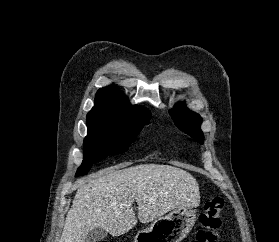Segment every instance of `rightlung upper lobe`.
I'll list each match as a JSON object with an SVG mask.
<instances>
[{"label":"right lung upper lobe","instance_id":"obj_1","mask_svg":"<svg viewBox=\"0 0 279 242\" xmlns=\"http://www.w3.org/2000/svg\"><path fill=\"white\" fill-rule=\"evenodd\" d=\"M147 109L131 105L127 97L113 86L96 93L95 105L87 114V120H104L120 125L140 124L150 120Z\"/></svg>","mask_w":279,"mask_h":242}]
</instances>
